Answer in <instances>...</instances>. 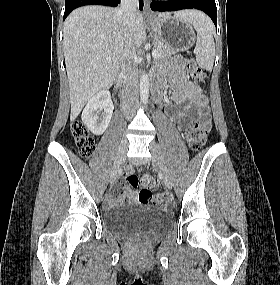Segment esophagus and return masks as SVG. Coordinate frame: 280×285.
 Masks as SVG:
<instances>
[{
    "instance_id": "34e87169",
    "label": "esophagus",
    "mask_w": 280,
    "mask_h": 285,
    "mask_svg": "<svg viewBox=\"0 0 280 285\" xmlns=\"http://www.w3.org/2000/svg\"><path fill=\"white\" fill-rule=\"evenodd\" d=\"M144 14L146 17H152V13L150 10V4L148 0H144Z\"/></svg>"
}]
</instances>
